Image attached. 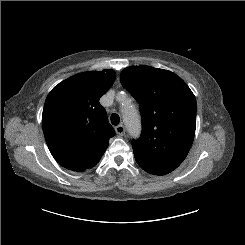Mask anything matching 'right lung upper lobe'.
Here are the masks:
<instances>
[{
  "instance_id": "cb5924a9",
  "label": "right lung upper lobe",
  "mask_w": 245,
  "mask_h": 245,
  "mask_svg": "<svg viewBox=\"0 0 245 245\" xmlns=\"http://www.w3.org/2000/svg\"><path fill=\"white\" fill-rule=\"evenodd\" d=\"M115 72L76 74L56 85L42 114L46 143L55 160L67 169L92 168L115 135L100 97L110 88Z\"/></svg>"
}]
</instances>
